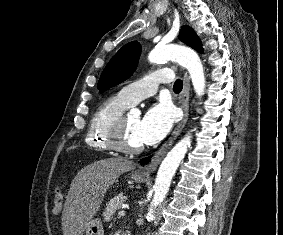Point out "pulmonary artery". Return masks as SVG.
Listing matches in <instances>:
<instances>
[{"instance_id": "e3ab8cb5", "label": "pulmonary artery", "mask_w": 283, "mask_h": 235, "mask_svg": "<svg viewBox=\"0 0 283 235\" xmlns=\"http://www.w3.org/2000/svg\"><path fill=\"white\" fill-rule=\"evenodd\" d=\"M172 79L171 69H160L134 83L124 86L120 94L128 103L135 105L139 101L154 95L160 84L170 83Z\"/></svg>"}]
</instances>
